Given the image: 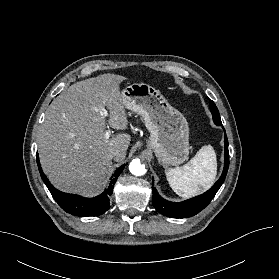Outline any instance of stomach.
Masks as SVG:
<instances>
[{"label": "stomach", "mask_w": 279, "mask_h": 279, "mask_svg": "<svg viewBox=\"0 0 279 279\" xmlns=\"http://www.w3.org/2000/svg\"><path fill=\"white\" fill-rule=\"evenodd\" d=\"M125 107L138 113L150 132L147 146L164 167L179 165L189 155V126L186 118L172 107L154 87L133 83L122 91Z\"/></svg>", "instance_id": "stomach-1"}]
</instances>
